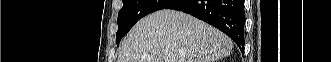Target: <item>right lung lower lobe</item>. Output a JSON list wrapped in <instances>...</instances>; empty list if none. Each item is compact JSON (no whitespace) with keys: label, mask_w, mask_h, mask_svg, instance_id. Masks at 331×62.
<instances>
[{"label":"right lung lower lobe","mask_w":331,"mask_h":62,"mask_svg":"<svg viewBox=\"0 0 331 62\" xmlns=\"http://www.w3.org/2000/svg\"><path fill=\"white\" fill-rule=\"evenodd\" d=\"M244 0H173L163 9L191 14L227 34L244 51Z\"/></svg>","instance_id":"obj_1"}]
</instances>
